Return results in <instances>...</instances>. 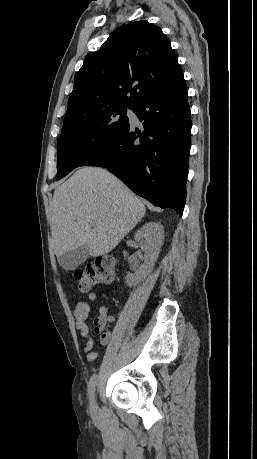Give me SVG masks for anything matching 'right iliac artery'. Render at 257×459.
Returning <instances> with one entry per match:
<instances>
[{
	"label": "right iliac artery",
	"mask_w": 257,
	"mask_h": 459,
	"mask_svg": "<svg viewBox=\"0 0 257 459\" xmlns=\"http://www.w3.org/2000/svg\"><path fill=\"white\" fill-rule=\"evenodd\" d=\"M96 383H97V375L94 374L90 381H89V384H88V393H89V397H90V400L93 399V396H94V392H95V387H96Z\"/></svg>",
	"instance_id": "1"
}]
</instances>
